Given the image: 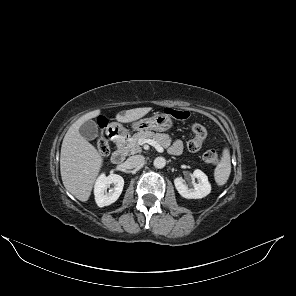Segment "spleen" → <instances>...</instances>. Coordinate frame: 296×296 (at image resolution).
<instances>
[{"instance_id": "spleen-1", "label": "spleen", "mask_w": 296, "mask_h": 296, "mask_svg": "<svg viewBox=\"0 0 296 296\" xmlns=\"http://www.w3.org/2000/svg\"><path fill=\"white\" fill-rule=\"evenodd\" d=\"M231 173V161L230 152L228 148H225L222 152L220 162L217 164L214 170V179L217 185L223 186L228 181Z\"/></svg>"}]
</instances>
